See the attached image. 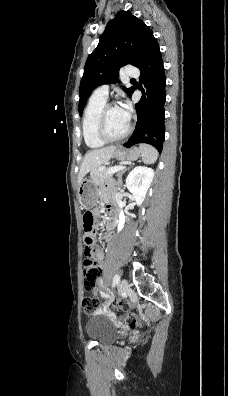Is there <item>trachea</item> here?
<instances>
[{
  "label": "trachea",
  "instance_id": "3493384b",
  "mask_svg": "<svg viewBox=\"0 0 228 396\" xmlns=\"http://www.w3.org/2000/svg\"><path fill=\"white\" fill-rule=\"evenodd\" d=\"M131 81H135V79H131Z\"/></svg>",
  "mask_w": 228,
  "mask_h": 396
}]
</instances>
